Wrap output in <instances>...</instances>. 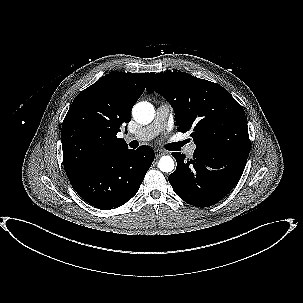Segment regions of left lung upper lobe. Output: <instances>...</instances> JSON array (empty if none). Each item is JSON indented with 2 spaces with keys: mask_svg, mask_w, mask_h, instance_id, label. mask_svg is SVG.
<instances>
[{
  "mask_svg": "<svg viewBox=\"0 0 303 303\" xmlns=\"http://www.w3.org/2000/svg\"><path fill=\"white\" fill-rule=\"evenodd\" d=\"M146 90L170 102L178 131L191 130L197 150L249 154L244 110L222 86L185 72H165L156 73Z\"/></svg>",
  "mask_w": 303,
  "mask_h": 303,
  "instance_id": "left-lung-upper-lobe-1",
  "label": "left lung upper lobe"
}]
</instances>
